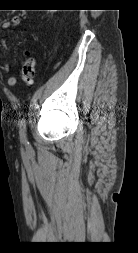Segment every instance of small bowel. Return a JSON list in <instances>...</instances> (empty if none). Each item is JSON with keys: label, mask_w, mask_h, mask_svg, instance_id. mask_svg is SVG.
Returning <instances> with one entry per match:
<instances>
[{"label": "small bowel", "mask_w": 138, "mask_h": 253, "mask_svg": "<svg viewBox=\"0 0 138 253\" xmlns=\"http://www.w3.org/2000/svg\"><path fill=\"white\" fill-rule=\"evenodd\" d=\"M20 23V18L19 17H13L11 18L9 21H5L3 24H2V29L6 32L10 31L12 28H14L15 26L19 25ZM2 42V45L4 46L5 49H8V44H7V40L6 38H2L1 40ZM1 69L3 72L5 73H10L11 71V68H10V65L9 63L4 60L1 64ZM17 82V78L15 76H10L7 80V84L9 86H14Z\"/></svg>", "instance_id": "small-bowel-1"}]
</instances>
